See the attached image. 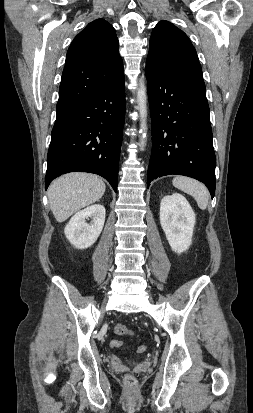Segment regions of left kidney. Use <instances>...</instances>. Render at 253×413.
Here are the masks:
<instances>
[{
	"mask_svg": "<svg viewBox=\"0 0 253 413\" xmlns=\"http://www.w3.org/2000/svg\"><path fill=\"white\" fill-rule=\"evenodd\" d=\"M195 222V214L184 196L173 193L162 198L160 224L175 253L181 254L190 247Z\"/></svg>",
	"mask_w": 253,
	"mask_h": 413,
	"instance_id": "5707ae66",
	"label": "left kidney"
}]
</instances>
